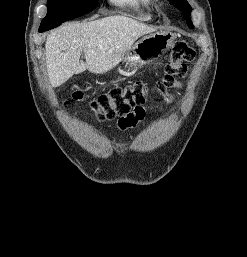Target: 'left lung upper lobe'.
Masks as SVG:
<instances>
[{
	"instance_id": "5c2ea615",
	"label": "left lung upper lobe",
	"mask_w": 247,
	"mask_h": 257,
	"mask_svg": "<svg viewBox=\"0 0 247 257\" xmlns=\"http://www.w3.org/2000/svg\"><path fill=\"white\" fill-rule=\"evenodd\" d=\"M170 3L174 4L180 11L183 12L185 19H187V24L193 28V24L190 20L191 6L186 0H169Z\"/></svg>"
}]
</instances>
